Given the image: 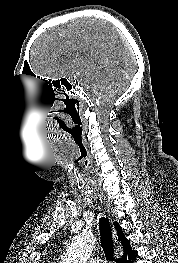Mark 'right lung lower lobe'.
I'll use <instances>...</instances> for the list:
<instances>
[{
    "mask_svg": "<svg viewBox=\"0 0 178 263\" xmlns=\"http://www.w3.org/2000/svg\"><path fill=\"white\" fill-rule=\"evenodd\" d=\"M136 256H137V252L133 251L127 257H123L122 260L119 261V263H133V261L135 260Z\"/></svg>",
    "mask_w": 178,
    "mask_h": 263,
    "instance_id": "right-lung-lower-lobe-1",
    "label": "right lung lower lobe"
}]
</instances>
